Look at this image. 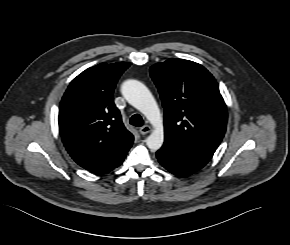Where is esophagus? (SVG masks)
Wrapping results in <instances>:
<instances>
[{
    "instance_id": "1",
    "label": "esophagus",
    "mask_w": 290,
    "mask_h": 245,
    "mask_svg": "<svg viewBox=\"0 0 290 245\" xmlns=\"http://www.w3.org/2000/svg\"><path fill=\"white\" fill-rule=\"evenodd\" d=\"M152 130L151 126L150 125H144L143 127H141L139 129V132L142 134V135H145V134H148L150 133Z\"/></svg>"
}]
</instances>
